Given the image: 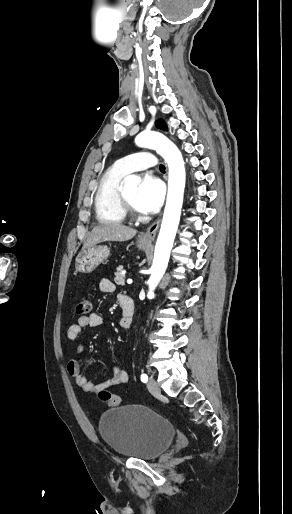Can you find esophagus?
Returning a JSON list of instances; mask_svg holds the SVG:
<instances>
[{
	"instance_id": "esophagus-1",
	"label": "esophagus",
	"mask_w": 292,
	"mask_h": 514,
	"mask_svg": "<svg viewBox=\"0 0 292 514\" xmlns=\"http://www.w3.org/2000/svg\"><path fill=\"white\" fill-rule=\"evenodd\" d=\"M159 224H160V219L153 222V224L150 225V227H148L146 232H144L143 234L140 235L139 241L143 242V243H151L155 239L156 233L159 228Z\"/></svg>"
}]
</instances>
